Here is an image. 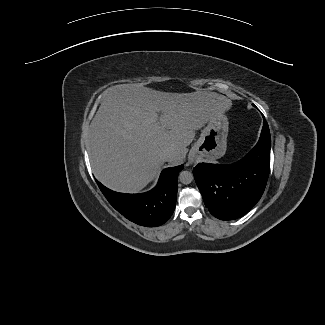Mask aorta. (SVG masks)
<instances>
[{"mask_svg": "<svg viewBox=\"0 0 325 325\" xmlns=\"http://www.w3.org/2000/svg\"><path fill=\"white\" fill-rule=\"evenodd\" d=\"M193 178V174L189 171H182L179 174V181L185 185L190 184L193 181Z\"/></svg>", "mask_w": 325, "mask_h": 325, "instance_id": "obj_1", "label": "aorta"}]
</instances>
